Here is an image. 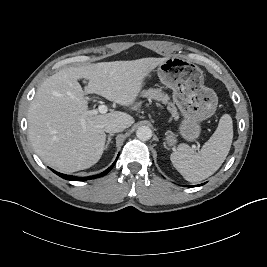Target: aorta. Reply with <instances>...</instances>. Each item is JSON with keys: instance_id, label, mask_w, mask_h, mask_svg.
Instances as JSON below:
<instances>
[{"instance_id": "762f6f07", "label": "aorta", "mask_w": 267, "mask_h": 267, "mask_svg": "<svg viewBox=\"0 0 267 267\" xmlns=\"http://www.w3.org/2000/svg\"><path fill=\"white\" fill-rule=\"evenodd\" d=\"M139 140L147 141L152 137V130L148 126H140L136 131Z\"/></svg>"}]
</instances>
